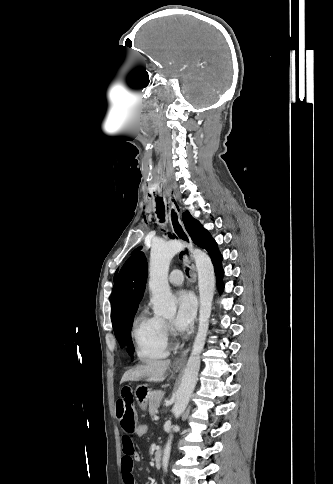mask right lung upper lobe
Instances as JSON below:
<instances>
[{"mask_svg":"<svg viewBox=\"0 0 333 484\" xmlns=\"http://www.w3.org/2000/svg\"><path fill=\"white\" fill-rule=\"evenodd\" d=\"M146 278V257L143 252H137L126 261L113 286L111 296L113 329L118 328L129 315L136 312L145 291Z\"/></svg>","mask_w":333,"mask_h":484,"instance_id":"right-lung-upper-lobe-1","label":"right lung upper lobe"}]
</instances>
